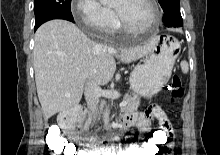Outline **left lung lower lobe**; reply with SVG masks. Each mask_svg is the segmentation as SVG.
Instances as JSON below:
<instances>
[{
    "label": "left lung lower lobe",
    "instance_id": "left-lung-lower-lobe-1",
    "mask_svg": "<svg viewBox=\"0 0 220 155\" xmlns=\"http://www.w3.org/2000/svg\"><path fill=\"white\" fill-rule=\"evenodd\" d=\"M163 23L166 27L183 26V20L181 17L180 9H174L164 12Z\"/></svg>",
    "mask_w": 220,
    "mask_h": 155
}]
</instances>
